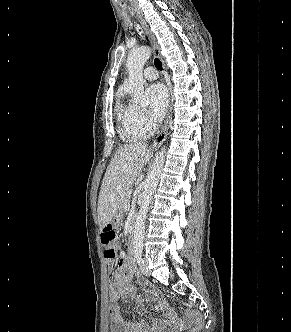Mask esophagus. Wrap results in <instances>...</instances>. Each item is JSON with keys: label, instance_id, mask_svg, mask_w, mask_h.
Segmentation results:
<instances>
[{"label": "esophagus", "instance_id": "esophagus-1", "mask_svg": "<svg viewBox=\"0 0 291 332\" xmlns=\"http://www.w3.org/2000/svg\"><path fill=\"white\" fill-rule=\"evenodd\" d=\"M137 17L139 19V22L142 26V28L144 29L152 47H153V51L154 54L162 61L163 63V68L166 72V66L165 63L161 57V51H160V46L157 43V39L154 35V33L152 32V30L150 29L149 25L147 24L146 20L144 19V17L142 16V14L139 11H136ZM167 82V86H168V91H169V107H168V113H167V118L163 127V130L161 131V133L156 137V139L153 141L152 143V147L156 148L162 145V143L164 142L166 136H167V131H168V126H169V122L172 116V96H171V84L170 81L168 79H166Z\"/></svg>", "mask_w": 291, "mask_h": 332}]
</instances>
